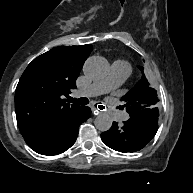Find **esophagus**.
I'll return each mask as SVG.
<instances>
[{"label": "esophagus", "mask_w": 193, "mask_h": 193, "mask_svg": "<svg viewBox=\"0 0 193 193\" xmlns=\"http://www.w3.org/2000/svg\"><path fill=\"white\" fill-rule=\"evenodd\" d=\"M92 111L94 115H98L100 113V111L97 110L95 107H92Z\"/></svg>", "instance_id": "1"}]
</instances>
